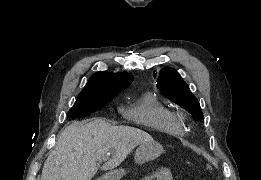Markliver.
<instances>
[{
	"label": "liver",
	"mask_w": 261,
	"mask_h": 180,
	"mask_svg": "<svg viewBox=\"0 0 261 180\" xmlns=\"http://www.w3.org/2000/svg\"><path fill=\"white\" fill-rule=\"evenodd\" d=\"M152 140L143 130L112 126L100 118L72 122L59 134L56 148L43 166L41 180H92L104 156L111 160L103 164L102 170H113L136 146Z\"/></svg>",
	"instance_id": "liver-1"
}]
</instances>
